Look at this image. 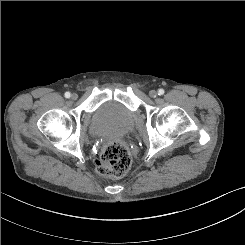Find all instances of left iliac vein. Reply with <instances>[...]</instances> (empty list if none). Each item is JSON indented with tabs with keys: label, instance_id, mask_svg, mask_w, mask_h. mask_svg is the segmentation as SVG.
Segmentation results:
<instances>
[{
	"label": "left iliac vein",
	"instance_id": "4c4485c4",
	"mask_svg": "<svg viewBox=\"0 0 245 245\" xmlns=\"http://www.w3.org/2000/svg\"><path fill=\"white\" fill-rule=\"evenodd\" d=\"M157 95H158V93L155 90H151L149 92V96L152 97V98H155Z\"/></svg>",
	"mask_w": 245,
	"mask_h": 245
}]
</instances>
